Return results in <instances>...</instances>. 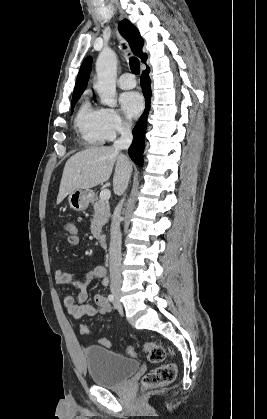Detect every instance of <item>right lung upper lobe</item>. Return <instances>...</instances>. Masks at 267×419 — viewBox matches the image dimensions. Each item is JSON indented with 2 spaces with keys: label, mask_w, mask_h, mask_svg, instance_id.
Instances as JSON below:
<instances>
[{
  "label": "right lung upper lobe",
  "mask_w": 267,
  "mask_h": 419,
  "mask_svg": "<svg viewBox=\"0 0 267 419\" xmlns=\"http://www.w3.org/2000/svg\"><path fill=\"white\" fill-rule=\"evenodd\" d=\"M118 28L121 34L129 42L134 54L137 55L143 63H146L147 55L142 52L143 39L140 36L138 29L127 19L120 21ZM91 65L92 57L89 56L83 61L80 67L73 92V97L81 95L84 92L89 80Z\"/></svg>",
  "instance_id": "obj_1"
}]
</instances>
